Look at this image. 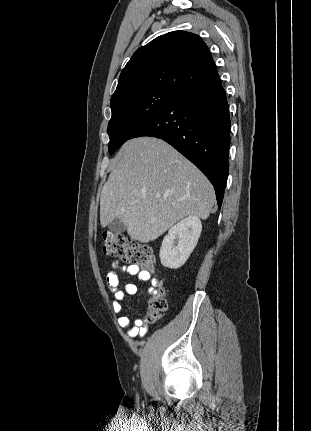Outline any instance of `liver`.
Returning a JSON list of instances; mask_svg holds the SVG:
<instances>
[{
	"instance_id": "obj_1",
	"label": "liver",
	"mask_w": 311,
	"mask_h": 431,
	"mask_svg": "<svg viewBox=\"0 0 311 431\" xmlns=\"http://www.w3.org/2000/svg\"><path fill=\"white\" fill-rule=\"evenodd\" d=\"M119 154L101 192L102 227L117 217L131 239L148 243L182 217L207 219L215 204L213 186L172 146L157 138H134Z\"/></svg>"
}]
</instances>
